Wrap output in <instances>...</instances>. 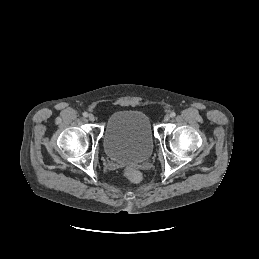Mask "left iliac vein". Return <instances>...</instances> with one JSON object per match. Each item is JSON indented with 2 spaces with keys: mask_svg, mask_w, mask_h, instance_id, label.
<instances>
[{
  "mask_svg": "<svg viewBox=\"0 0 259 259\" xmlns=\"http://www.w3.org/2000/svg\"><path fill=\"white\" fill-rule=\"evenodd\" d=\"M163 120H164V122H168L170 120V116L169 115H165Z\"/></svg>",
  "mask_w": 259,
  "mask_h": 259,
  "instance_id": "left-iliac-vein-1",
  "label": "left iliac vein"
}]
</instances>
